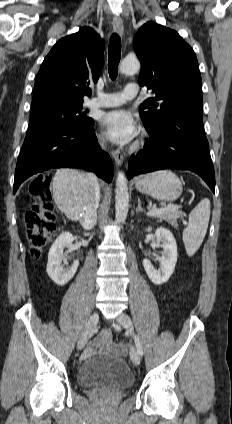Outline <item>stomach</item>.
<instances>
[{
    "label": "stomach",
    "instance_id": "obj_1",
    "mask_svg": "<svg viewBox=\"0 0 232 424\" xmlns=\"http://www.w3.org/2000/svg\"><path fill=\"white\" fill-rule=\"evenodd\" d=\"M136 189L162 202H172L182 193L180 179L169 170L150 173L135 183Z\"/></svg>",
    "mask_w": 232,
    "mask_h": 424
}]
</instances>
